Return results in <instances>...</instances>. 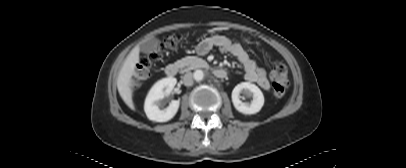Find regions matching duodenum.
Segmentation results:
<instances>
[{"mask_svg": "<svg viewBox=\"0 0 406 168\" xmlns=\"http://www.w3.org/2000/svg\"><path fill=\"white\" fill-rule=\"evenodd\" d=\"M202 67H208V65H207V64H202ZM180 69H181V67H180L179 64H177V63H171V64H169V65L166 66V68H165V74H166L168 77H173V76H175V75L178 74V72L180 71ZM211 71L213 72V74H214L217 78H220V79H224V78H226L227 75H228V73H227L226 70H224V69H222V68H219V67H216V66L211 67Z\"/></svg>", "mask_w": 406, "mask_h": 168, "instance_id": "duodenum-1", "label": "duodenum"}]
</instances>
